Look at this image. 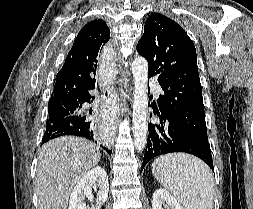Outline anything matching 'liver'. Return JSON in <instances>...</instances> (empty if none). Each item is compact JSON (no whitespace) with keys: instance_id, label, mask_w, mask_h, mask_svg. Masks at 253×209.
Segmentation results:
<instances>
[{"instance_id":"liver-1","label":"liver","mask_w":253,"mask_h":209,"mask_svg":"<svg viewBox=\"0 0 253 209\" xmlns=\"http://www.w3.org/2000/svg\"><path fill=\"white\" fill-rule=\"evenodd\" d=\"M101 158L99 147L76 136H61L44 144L36 171L38 209H67L78 181Z\"/></svg>"}]
</instances>
